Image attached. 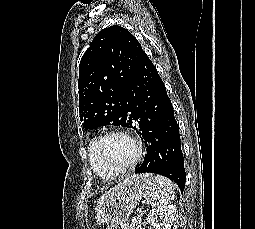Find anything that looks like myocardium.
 Here are the masks:
<instances>
[{"label":"myocardium","mask_w":255,"mask_h":229,"mask_svg":"<svg viewBox=\"0 0 255 229\" xmlns=\"http://www.w3.org/2000/svg\"><path fill=\"white\" fill-rule=\"evenodd\" d=\"M110 136H123L129 139L134 144L136 149V154L134 159L129 164L121 166V167H114L104 161L100 153V146L103 143V141ZM92 150H93V154L95 158L100 162V164L105 170L109 171L112 174H118V175L120 173H124V172L132 170L140 161L142 156V144L140 140L134 135H132L131 133L127 131H123V130H110V131L102 133L101 135L96 137Z\"/></svg>","instance_id":"1"}]
</instances>
